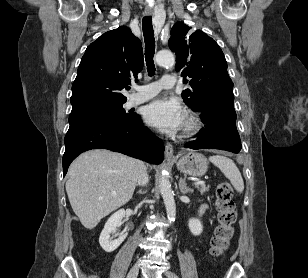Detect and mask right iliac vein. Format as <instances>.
<instances>
[{
	"label": "right iliac vein",
	"instance_id": "63e3f726",
	"mask_svg": "<svg viewBox=\"0 0 308 278\" xmlns=\"http://www.w3.org/2000/svg\"><path fill=\"white\" fill-rule=\"evenodd\" d=\"M139 272V263H136L129 271L127 278H137Z\"/></svg>",
	"mask_w": 308,
	"mask_h": 278
}]
</instances>
